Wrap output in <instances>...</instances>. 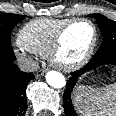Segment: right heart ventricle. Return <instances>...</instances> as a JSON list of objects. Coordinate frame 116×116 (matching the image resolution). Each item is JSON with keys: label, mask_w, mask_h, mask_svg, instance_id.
I'll list each match as a JSON object with an SVG mask.
<instances>
[{"label": "right heart ventricle", "mask_w": 116, "mask_h": 116, "mask_svg": "<svg viewBox=\"0 0 116 116\" xmlns=\"http://www.w3.org/2000/svg\"><path fill=\"white\" fill-rule=\"evenodd\" d=\"M70 19L40 18L25 24L18 34V43L40 57H47L59 29Z\"/></svg>", "instance_id": "obj_1"}]
</instances>
